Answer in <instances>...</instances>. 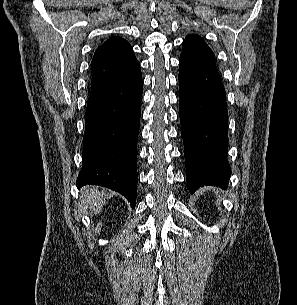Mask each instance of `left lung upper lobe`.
Wrapping results in <instances>:
<instances>
[{
	"label": "left lung upper lobe",
	"instance_id": "5c2ea615",
	"mask_svg": "<svg viewBox=\"0 0 297 305\" xmlns=\"http://www.w3.org/2000/svg\"><path fill=\"white\" fill-rule=\"evenodd\" d=\"M179 68L187 71L216 68L214 53L201 37L188 35L183 41Z\"/></svg>",
	"mask_w": 297,
	"mask_h": 305
}]
</instances>
